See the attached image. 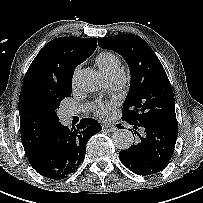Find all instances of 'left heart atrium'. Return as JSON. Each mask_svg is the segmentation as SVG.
I'll return each mask as SVG.
<instances>
[{
  "mask_svg": "<svg viewBox=\"0 0 203 203\" xmlns=\"http://www.w3.org/2000/svg\"><path fill=\"white\" fill-rule=\"evenodd\" d=\"M112 107H113V104H111V103H108V104L107 103L106 104L98 103L93 107V110L97 114L105 116L109 113V111L112 109Z\"/></svg>",
  "mask_w": 203,
  "mask_h": 203,
  "instance_id": "1",
  "label": "left heart atrium"
}]
</instances>
